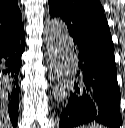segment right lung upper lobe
Instances as JSON below:
<instances>
[{
	"label": "right lung upper lobe",
	"mask_w": 125,
	"mask_h": 128,
	"mask_svg": "<svg viewBox=\"0 0 125 128\" xmlns=\"http://www.w3.org/2000/svg\"><path fill=\"white\" fill-rule=\"evenodd\" d=\"M23 27L17 0H0V38Z\"/></svg>",
	"instance_id": "1"
}]
</instances>
